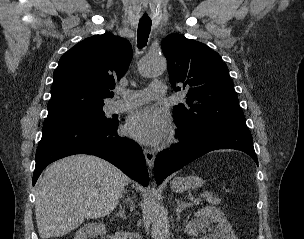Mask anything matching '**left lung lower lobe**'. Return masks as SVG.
<instances>
[{
    "label": "left lung lower lobe",
    "instance_id": "1",
    "mask_svg": "<svg viewBox=\"0 0 304 239\" xmlns=\"http://www.w3.org/2000/svg\"><path fill=\"white\" fill-rule=\"evenodd\" d=\"M180 142L170 151L160 152L155 160L157 184L196 158L217 149H236L247 153L258 165L251 132L247 127H217L196 136H188L179 128Z\"/></svg>",
    "mask_w": 304,
    "mask_h": 239
}]
</instances>
